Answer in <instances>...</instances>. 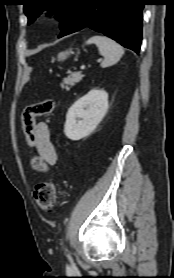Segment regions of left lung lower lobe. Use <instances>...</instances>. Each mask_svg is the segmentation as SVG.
Masks as SVG:
<instances>
[{
	"label": "left lung lower lobe",
	"mask_w": 174,
	"mask_h": 278,
	"mask_svg": "<svg viewBox=\"0 0 174 278\" xmlns=\"http://www.w3.org/2000/svg\"><path fill=\"white\" fill-rule=\"evenodd\" d=\"M144 5L145 0H81L73 19L59 38L87 27L138 53Z\"/></svg>",
	"instance_id": "1"
}]
</instances>
